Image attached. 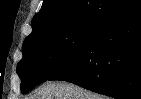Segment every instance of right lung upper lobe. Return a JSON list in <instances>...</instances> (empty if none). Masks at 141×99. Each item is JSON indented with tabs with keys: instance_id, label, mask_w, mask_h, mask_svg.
I'll use <instances>...</instances> for the list:
<instances>
[{
	"instance_id": "right-lung-upper-lobe-1",
	"label": "right lung upper lobe",
	"mask_w": 141,
	"mask_h": 99,
	"mask_svg": "<svg viewBox=\"0 0 141 99\" xmlns=\"http://www.w3.org/2000/svg\"><path fill=\"white\" fill-rule=\"evenodd\" d=\"M134 0H44L25 41L82 21H101ZM24 41V42H25Z\"/></svg>"
}]
</instances>
